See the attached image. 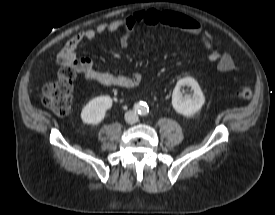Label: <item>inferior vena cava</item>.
Segmentation results:
<instances>
[{
    "label": "inferior vena cava",
    "mask_w": 275,
    "mask_h": 215,
    "mask_svg": "<svg viewBox=\"0 0 275 215\" xmlns=\"http://www.w3.org/2000/svg\"><path fill=\"white\" fill-rule=\"evenodd\" d=\"M125 121L129 124L136 123L138 121V115L134 111H127L124 115Z\"/></svg>",
    "instance_id": "inferior-vena-cava-1"
}]
</instances>
